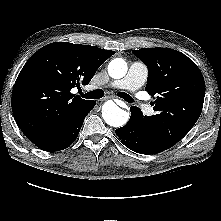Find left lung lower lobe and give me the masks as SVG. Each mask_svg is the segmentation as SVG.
<instances>
[{"instance_id":"left-lung-lower-lobe-1","label":"left lung lower lobe","mask_w":221,"mask_h":221,"mask_svg":"<svg viewBox=\"0 0 221 221\" xmlns=\"http://www.w3.org/2000/svg\"><path fill=\"white\" fill-rule=\"evenodd\" d=\"M128 123L115 130L121 142L130 150L140 154H156L170 147L166 146L153 128L147 123L146 116L136 106H131Z\"/></svg>"}]
</instances>
